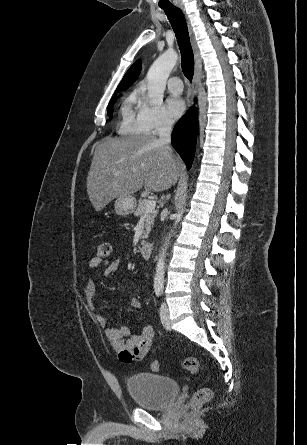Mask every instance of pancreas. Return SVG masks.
Returning <instances> with one entry per match:
<instances>
[{"instance_id":"obj_1","label":"pancreas","mask_w":307,"mask_h":445,"mask_svg":"<svg viewBox=\"0 0 307 445\" xmlns=\"http://www.w3.org/2000/svg\"><path fill=\"white\" fill-rule=\"evenodd\" d=\"M149 198H139L138 206L136 210H134V216H144V214H148L146 218V223L144 225V229H146L145 233H142L141 239H147L148 233H150V229L152 225H154L155 216H157V210H149L146 212V202Z\"/></svg>"}]
</instances>
